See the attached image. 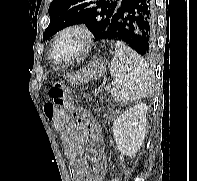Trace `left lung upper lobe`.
I'll list each match as a JSON object with an SVG mask.
<instances>
[{"label": "left lung upper lobe", "instance_id": "1", "mask_svg": "<svg viewBox=\"0 0 197 181\" xmlns=\"http://www.w3.org/2000/svg\"><path fill=\"white\" fill-rule=\"evenodd\" d=\"M120 0H53L49 6L50 24L43 38L48 39L59 30L74 24H85L101 38Z\"/></svg>", "mask_w": 197, "mask_h": 181}]
</instances>
